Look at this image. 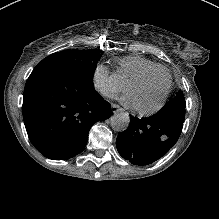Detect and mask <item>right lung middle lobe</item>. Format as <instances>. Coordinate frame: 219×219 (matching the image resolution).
Masks as SVG:
<instances>
[{"label": "right lung middle lobe", "instance_id": "right-lung-middle-lobe-1", "mask_svg": "<svg viewBox=\"0 0 219 219\" xmlns=\"http://www.w3.org/2000/svg\"><path fill=\"white\" fill-rule=\"evenodd\" d=\"M101 50H66L49 55L32 71L38 73L55 65H67L76 69L83 77L92 80V72L96 67Z\"/></svg>", "mask_w": 219, "mask_h": 219}]
</instances>
